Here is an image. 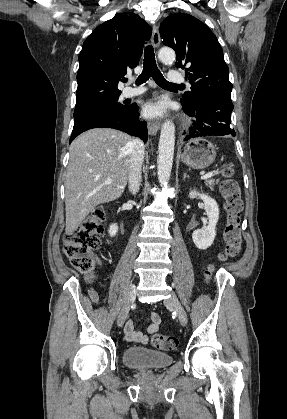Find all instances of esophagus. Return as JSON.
Segmentation results:
<instances>
[{
	"label": "esophagus",
	"instance_id": "34e87169",
	"mask_svg": "<svg viewBox=\"0 0 287 419\" xmlns=\"http://www.w3.org/2000/svg\"><path fill=\"white\" fill-rule=\"evenodd\" d=\"M151 42L154 47H158L160 45V34L159 29L156 25H153L152 27V37ZM160 128V121L155 120L152 122H148V132L150 135H156Z\"/></svg>",
	"mask_w": 287,
	"mask_h": 419
}]
</instances>
